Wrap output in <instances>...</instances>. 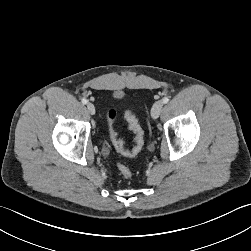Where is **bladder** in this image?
I'll return each mask as SVG.
<instances>
[{
  "label": "bladder",
  "mask_w": 251,
  "mask_h": 251,
  "mask_svg": "<svg viewBox=\"0 0 251 251\" xmlns=\"http://www.w3.org/2000/svg\"><path fill=\"white\" fill-rule=\"evenodd\" d=\"M114 97H117V94H114Z\"/></svg>",
  "instance_id": "1"
}]
</instances>
